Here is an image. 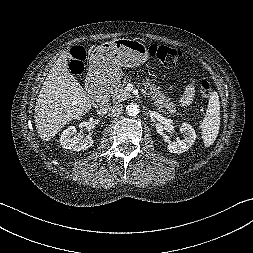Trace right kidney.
I'll list each match as a JSON object with an SVG mask.
<instances>
[{"instance_id":"1","label":"right kidney","mask_w":253,"mask_h":253,"mask_svg":"<svg viewBox=\"0 0 253 253\" xmlns=\"http://www.w3.org/2000/svg\"><path fill=\"white\" fill-rule=\"evenodd\" d=\"M60 143L65 149L81 151L91 147L94 143V139L90 135L84 137L76 136V128L74 126H69L63 131L60 137Z\"/></svg>"}]
</instances>
